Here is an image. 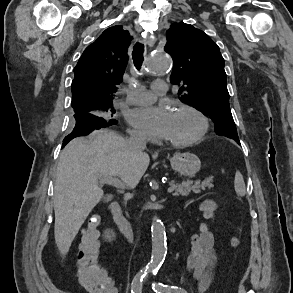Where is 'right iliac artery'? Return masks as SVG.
<instances>
[{"mask_svg": "<svg viewBox=\"0 0 293 293\" xmlns=\"http://www.w3.org/2000/svg\"><path fill=\"white\" fill-rule=\"evenodd\" d=\"M149 268L146 267L134 277L132 284H131V293H141L142 292V281L146 274L149 272Z\"/></svg>", "mask_w": 293, "mask_h": 293, "instance_id": "82829eb1", "label": "right iliac artery"}]
</instances>
